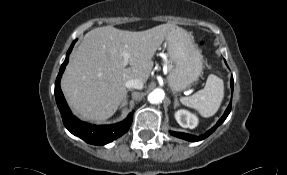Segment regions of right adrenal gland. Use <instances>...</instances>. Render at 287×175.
Segmentation results:
<instances>
[{
	"label": "right adrenal gland",
	"mask_w": 287,
	"mask_h": 175,
	"mask_svg": "<svg viewBox=\"0 0 287 175\" xmlns=\"http://www.w3.org/2000/svg\"><path fill=\"white\" fill-rule=\"evenodd\" d=\"M127 97H128V95H126V96H125V98H124V101H123V104H122V105H125V104H126V102H127Z\"/></svg>",
	"instance_id": "obj_1"
}]
</instances>
